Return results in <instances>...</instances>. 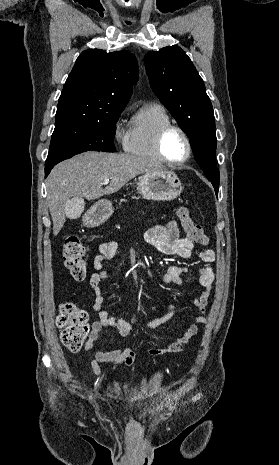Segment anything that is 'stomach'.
<instances>
[{
    "instance_id": "1",
    "label": "stomach",
    "mask_w": 279,
    "mask_h": 465,
    "mask_svg": "<svg viewBox=\"0 0 279 465\" xmlns=\"http://www.w3.org/2000/svg\"><path fill=\"white\" fill-rule=\"evenodd\" d=\"M137 190L145 198L155 201H170L183 191L182 183L172 171L145 173L139 177ZM112 202L106 199L96 202L85 214L83 222L88 227L103 224L113 213Z\"/></svg>"
}]
</instances>
